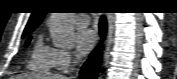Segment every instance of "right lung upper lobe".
I'll return each mask as SVG.
<instances>
[{
    "label": "right lung upper lobe",
    "mask_w": 177,
    "mask_h": 79,
    "mask_svg": "<svg viewBox=\"0 0 177 79\" xmlns=\"http://www.w3.org/2000/svg\"><path fill=\"white\" fill-rule=\"evenodd\" d=\"M45 14L46 11L44 10H38L33 12L25 29L36 28L41 23Z\"/></svg>",
    "instance_id": "1"
}]
</instances>
